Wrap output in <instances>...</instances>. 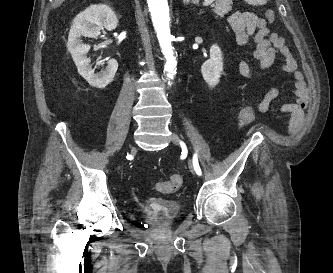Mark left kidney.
I'll use <instances>...</instances> for the list:
<instances>
[{
	"label": "left kidney",
	"instance_id": "left-kidney-1",
	"mask_svg": "<svg viewBox=\"0 0 333 273\" xmlns=\"http://www.w3.org/2000/svg\"><path fill=\"white\" fill-rule=\"evenodd\" d=\"M223 71V56L218 45L214 44L210 48V59L201 66V73L210 87L216 86Z\"/></svg>",
	"mask_w": 333,
	"mask_h": 273
}]
</instances>
